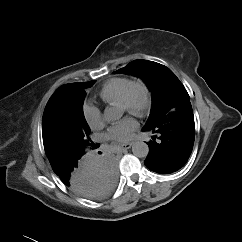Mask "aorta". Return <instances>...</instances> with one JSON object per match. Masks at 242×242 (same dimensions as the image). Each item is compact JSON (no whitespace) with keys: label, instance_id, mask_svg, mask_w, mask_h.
<instances>
[{"label":"aorta","instance_id":"aorta-1","mask_svg":"<svg viewBox=\"0 0 242 242\" xmlns=\"http://www.w3.org/2000/svg\"><path fill=\"white\" fill-rule=\"evenodd\" d=\"M122 114L116 107H106L103 112V119L108 122H114L121 118ZM133 155L138 158L147 157L149 153V146L143 141H137L132 145Z\"/></svg>","mask_w":242,"mask_h":242}]
</instances>
